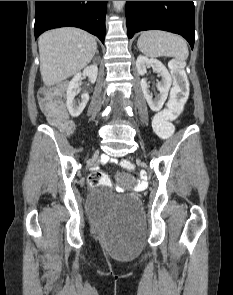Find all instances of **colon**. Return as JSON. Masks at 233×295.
I'll use <instances>...</instances> for the list:
<instances>
[{"label": "colon", "mask_w": 233, "mask_h": 295, "mask_svg": "<svg viewBox=\"0 0 233 295\" xmlns=\"http://www.w3.org/2000/svg\"><path fill=\"white\" fill-rule=\"evenodd\" d=\"M173 76V87L170 100L165 109L159 111L153 120L156 133L163 139H170L174 135L173 121L179 116L189 96V82L183 64L173 60L170 65ZM65 84L54 85L43 90L40 94V106L51 123L58 126L63 132L70 133L73 123L65 109L62 95ZM121 166L129 171L135 170V165L129 160H122ZM89 187L111 186L109 178L101 171H93L88 177Z\"/></svg>", "instance_id": "obj_1"}]
</instances>
